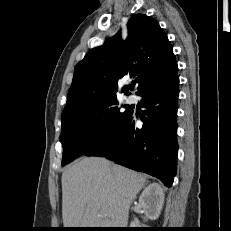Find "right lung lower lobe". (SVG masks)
Returning a JSON list of instances; mask_svg holds the SVG:
<instances>
[{"instance_id":"98d812e1","label":"right lung lower lobe","mask_w":231,"mask_h":231,"mask_svg":"<svg viewBox=\"0 0 231 231\" xmlns=\"http://www.w3.org/2000/svg\"><path fill=\"white\" fill-rule=\"evenodd\" d=\"M179 77L154 82L137 93L141 96L143 126H135L130 111L119 130L103 145L86 153L103 156L130 169L145 172L171 187L176 175L178 144L177 99Z\"/></svg>"}]
</instances>
